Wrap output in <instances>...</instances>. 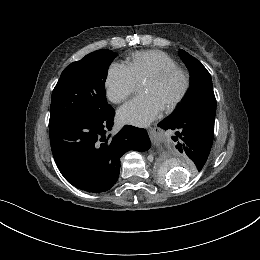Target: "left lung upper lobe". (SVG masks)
<instances>
[{
	"mask_svg": "<svg viewBox=\"0 0 260 260\" xmlns=\"http://www.w3.org/2000/svg\"><path fill=\"white\" fill-rule=\"evenodd\" d=\"M179 56L190 71V88L183 101L170 116L181 117L196 114L215 120L216 99L210 73L186 51L180 50Z\"/></svg>",
	"mask_w": 260,
	"mask_h": 260,
	"instance_id": "left-lung-upper-lobe-1",
	"label": "left lung upper lobe"
}]
</instances>
